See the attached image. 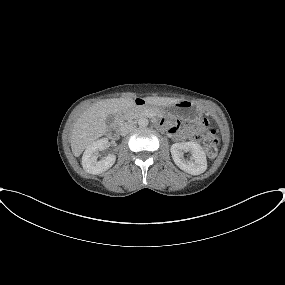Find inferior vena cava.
Instances as JSON below:
<instances>
[{"label": "inferior vena cava", "mask_w": 285, "mask_h": 285, "mask_svg": "<svg viewBox=\"0 0 285 285\" xmlns=\"http://www.w3.org/2000/svg\"><path fill=\"white\" fill-rule=\"evenodd\" d=\"M136 128V125L134 122H126L124 123L121 128H120V134L122 136L127 135L128 133H130L131 131H133Z\"/></svg>", "instance_id": "inferior-vena-cava-1"}]
</instances>
